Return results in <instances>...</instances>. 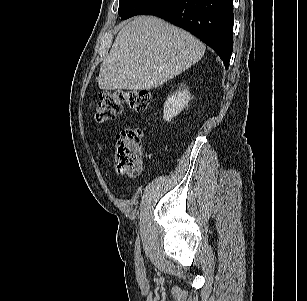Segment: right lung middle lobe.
I'll use <instances>...</instances> for the list:
<instances>
[{"label": "right lung middle lobe", "mask_w": 307, "mask_h": 301, "mask_svg": "<svg viewBox=\"0 0 307 301\" xmlns=\"http://www.w3.org/2000/svg\"><path fill=\"white\" fill-rule=\"evenodd\" d=\"M160 0H119L118 13L122 19L141 14Z\"/></svg>", "instance_id": "1"}]
</instances>
